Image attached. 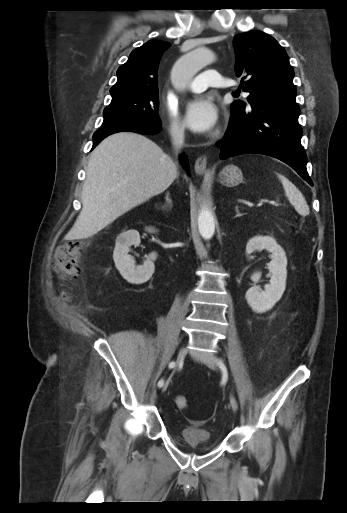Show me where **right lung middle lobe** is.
I'll list each match as a JSON object with an SVG mask.
<instances>
[{"label":"right lung middle lobe","instance_id":"right-lung-middle-lobe-1","mask_svg":"<svg viewBox=\"0 0 347 513\" xmlns=\"http://www.w3.org/2000/svg\"><path fill=\"white\" fill-rule=\"evenodd\" d=\"M158 92H127L112 96V101L103 111L106 126L122 121H138L161 126L158 115Z\"/></svg>","mask_w":347,"mask_h":513}]
</instances>
